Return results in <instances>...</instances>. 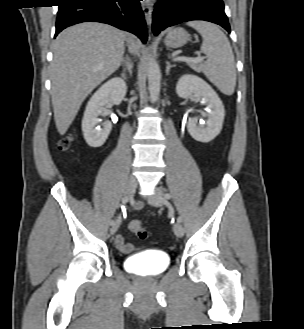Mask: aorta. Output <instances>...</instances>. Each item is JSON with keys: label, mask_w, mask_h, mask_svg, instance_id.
Instances as JSON below:
<instances>
[{"label": "aorta", "mask_w": 304, "mask_h": 329, "mask_svg": "<svg viewBox=\"0 0 304 329\" xmlns=\"http://www.w3.org/2000/svg\"><path fill=\"white\" fill-rule=\"evenodd\" d=\"M148 89L150 93V101L156 102L160 92V69L155 59L150 55L147 63Z\"/></svg>", "instance_id": "obj_1"}]
</instances>
